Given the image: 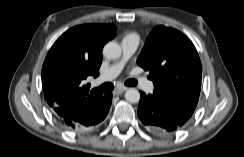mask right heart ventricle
Listing matches in <instances>:
<instances>
[{"mask_svg": "<svg viewBox=\"0 0 244 157\" xmlns=\"http://www.w3.org/2000/svg\"><path fill=\"white\" fill-rule=\"evenodd\" d=\"M128 36H135V37H137L135 34H130V35H128Z\"/></svg>", "mask_w": 244, "mask_h": 157, "instance_id": "obj_1", "label": "right heart ventricle"}]
</instances>
